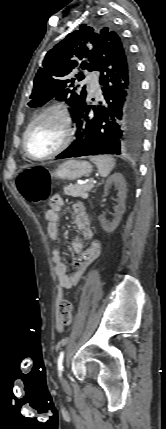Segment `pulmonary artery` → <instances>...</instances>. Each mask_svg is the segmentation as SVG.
Instances as JSON below:
<instances>
[{
	"label": "pulmonary artery",
	"mask_w": 166,
	"mask_h": 429,
	"mask_svg": "<svg viewBox=\"0 0 166 429\" xmlns=\"http://www.w3.org/2000/svg\"><path fill=\"white\" fill-rule=\"evenodd\" d=\"M87 82L89 86V90L93 93L99 92V85H98V77L96 75H89L87 77Z\"/></svg>",
	"instance_id": "1"
}]
</instances>
